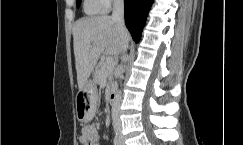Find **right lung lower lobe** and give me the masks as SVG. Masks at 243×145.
Wrapping results in <instances>:
<instances>
[{
	"mask_svg": "<svg viewBox=\"0 0 243 145\" xmlns=\"http://www.w3.org/2000/svg\"><path fill=\"white\" fill-rule=\"evenodd\" d=\"M153 0H124L125 24L138 42Z\"/></svg>",
	"mask_w": 243,
	"mask_h": 145,
	"instance_id": "right-lung-lower-lobe-1",
	"label": "right lung lower lobe"
}]
</instances>
